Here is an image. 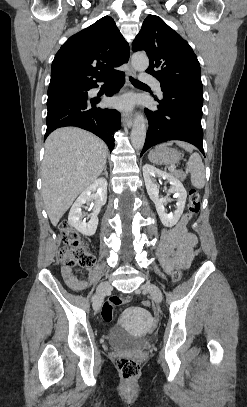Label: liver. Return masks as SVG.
<instances>
[{"instance_id": "obj_1", "label": "liver", "mask_w": 247, "mask_h": 407, "mask_svg": "<svg viewBox=\"0 0 247 407\" xmlns=\"http://www.w3.org/2000/svg\"><path fill=\"white\" fill-rule=\"evenodd\" d=\"M107 154L101 139L80 128H59L49 135L42 163V196L53 226L100 176Z\"/></svg>"}]
</instances>
